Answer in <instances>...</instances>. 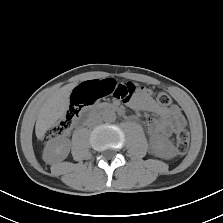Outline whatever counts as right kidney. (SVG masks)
<instances>
[{
  "label": "right kidney",
  "instance_id": "right-kidney-1",
  "mask_svg": "<svg viewBox=\"0 0 223 223\" xmlns=\"http://www.w3.org/2000/svg\"><path fill=\"white\" fill-rule=\"evenodd\" d=\"M70 152V141L63 137L53 139L44 149L43 159L52 163L57 160H64Z\"/></svg>",
  "mask_w": 223,
  "mask_h": 223
}]
</instances>
